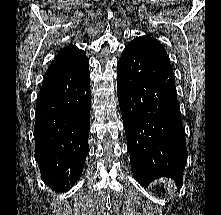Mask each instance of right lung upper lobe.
Listing matches in <instances>:
<instances>
[{
    "mask_svg": "<svg viewBox=\"0 0 221 215\" xmlns=\"http://www.w3.org/2000/svg\"><path fill=\"white\" fill-rule=\"evenodd\" d=\"M86 57V52L76 46H68L62 49L48 67L45 76L63 71Z\"/></svg>",
    "mask_w": 221,
    "mask_h": 215,
    "instance_id": "1",
    "label": "right lung upper lobe"
}]
</instances>
